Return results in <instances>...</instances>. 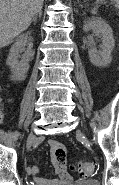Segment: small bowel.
<instances>
[{"instance_id": "small-bowel-1", "label": "small bowel", "mask_w": 119, "mask_h": 185, "mask_svg": "<svg viewBox=\"0 0 119 185\" xmlns=\"http://www.w3.org/2000/svg\"><path fill=\"white\" fill-rule=\"evenodd\" d=\"M51 152V162L54 167V175L59 177L62 182L68 183L72 180L66 167L67 152L65 146L57 140L48 141ZM39 169L37 165L27 167L28 174L33 176L36 185H59L57 179H47L37 176Z\"/></svg>"}]
</instances>
